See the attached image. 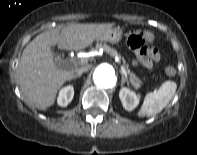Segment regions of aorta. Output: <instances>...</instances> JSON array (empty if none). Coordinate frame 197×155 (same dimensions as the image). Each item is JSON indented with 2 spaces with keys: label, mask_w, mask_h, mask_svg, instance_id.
I'll return each mask as SVG.
<instances>
[{
  "label": "aorta",
  "mask_w": 197,
  "mask_h": 155,
  "mask_svg": "<svg viewBox=\"0 0 197 155\" xmlns=\"http://www.w3.org/2000/svg\"><path fill=\"white\" fill-rule=\"evenodd\" d=\"M93 80L97 87L111 89L116 85V74L112 65L102 63L98 65L93 73Z\"/></svg>",
  "instance_id": "aorta-1"
}]
</instances>
